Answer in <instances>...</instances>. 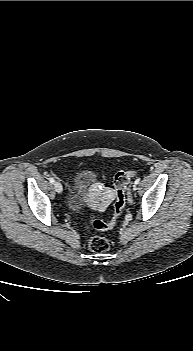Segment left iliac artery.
<instances>
[{
  "label": "left iliac artery",
  "mask_w": 193,
  "mask_h": 351,
  "mask_svg": "<svg viewBox=\"0 0 193 351\" xmlns=\"http://www.w3.org/2000/svg\"><path fill=\"white\" fill-rule=\"evenodd\" d=\"M139 182H140V178H137L134 183L138 184Z\"/></svg>",
  "instance_id": "obj_1"
}]
</instances>
